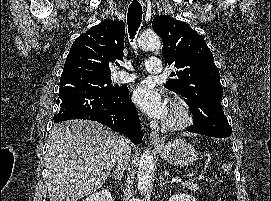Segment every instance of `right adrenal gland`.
<instances>
[{"label":"right adrenal gland","mask_w":271,"mask_h":201,"mask_svg":"<svg viewBox=\"0 0 271 201\" xmlns=\"http://www.w3.org/2000/svg\"><path fill=\"white\" fill-rule=\"evenodd\" d=\"M122 175V171L119 170H115L114 173L109 174L110 177H114V179L118 182L122 179Z\"/></svg>","instance_id":"right-adrenal-gland-1"}]
</instances>
